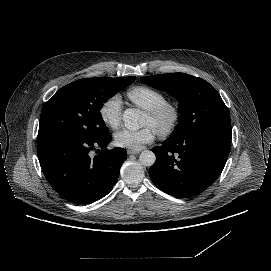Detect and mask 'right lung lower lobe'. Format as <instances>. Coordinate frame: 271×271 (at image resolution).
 <instances>
[{"instance_id": "right-lung-lower-lobe-1", "label": "right lung lower lobe", "mask_w": 271, "mask_h": 271, "mask_svg": "<svg viewBox=\"0 0 271 271\" xmlns=\"http://www.w3.org/2000/svg\"><path fill=\"white\" fill-rule=\"evenodd\" d=\"M112 137L107 132L96 139L52 133L38 137L42 171L53 189L64 199L87 204L106 196L116 184L127 157L123 148L107 150ZM101 150L94 158L91 151Z\"/></svg>"}]
</instances>
